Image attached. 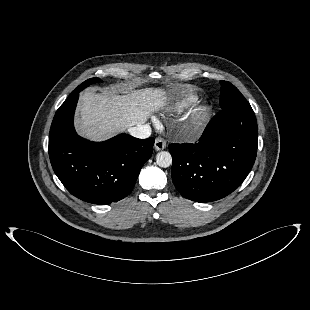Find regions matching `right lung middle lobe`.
<instances>
[{
  "label": "right lung middle lobe",
  "instance_id": "1",
  "mask_svg": "<svg viewBox=\"0 0 310 310\" xmlns=\"http://www.w3.org/2000/svg\"><path fill=\"white\" fill-rule=\"evenodd\" d=\"M99 81H100L99 78L88 79L85 82H83L81 85H79L74 91H81L84 88H86L87 86H89L90 84H93V83H96V82H99Z\"/></svg>",
  "mask_w": 310,
  "mask_h": 310
}]
</instances>
